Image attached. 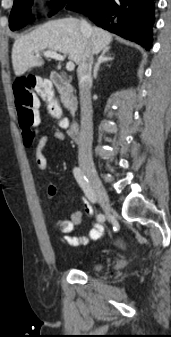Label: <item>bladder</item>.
<instances>
[{
  "mask_svg": "<svg viewBox=\"0 0 171 337\" xmlns=\"http://www.w3.org/2000/svg\"><path fill=\"white\" fill-rule=\"evenodd\" d=\"M101 268V264H95L93 266H91L92 270H99Z\"/></svg>",
  "mask_w": 171,
  "mask_h": 337,
  "instance_id": "bladder-1",
  "label": "bladder"
}]
</instances>
